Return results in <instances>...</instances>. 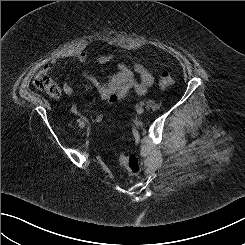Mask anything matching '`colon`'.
<instances>
[{
  "label": "colon",
  "instance_id": "obj_1",
  "mask_svg": "<svg viewBox=\"0 0 245 245\" xmlns=\"http://www.w3.org/2000/svg\"><path fill=\"white\" fill-rule=\"evenodd\" d=\"M33 83L37 89L45 92L51 97H57L59 95L58 86L46 70L38 72L34 77ZM174 83L175 78L172 73L164 71L160 74L158 84L161 89H169L174 85ZM119 160L129 174L137 175L140 172L141 166L136 155L121 154L119 156Z\"/></svg>",
  "mask_w": 245,
  "mask_h": 245
}]
</instances>
